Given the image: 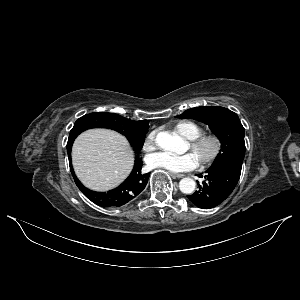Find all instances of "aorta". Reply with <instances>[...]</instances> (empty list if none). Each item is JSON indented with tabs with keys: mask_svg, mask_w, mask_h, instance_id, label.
I'll return each instance as SVG.
<instances>
[{
	"mask_svg": "<svg viewBox=\"0 0 300 300\" xmlns=\"http://www.w3.org/2000/svg\"><path fill=\"white\" fill-rule=\"evenodd\" d=\"M157 145L168 151L180 153L184 141L178 135H173L168 132H161L156 136ZM196 183L192 178H183L179 182L180 191L184 194H192L195 190Z\"/></svg>",
	"mask_w": 300,
	"mask_h": 300,
	"instance_id": "762f6f07",
	"label": "aorta"
}]
</instances>
